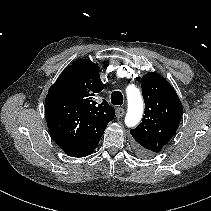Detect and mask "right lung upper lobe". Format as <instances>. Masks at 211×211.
Segmentation results:
<instances>
[{
    "label": "right lung upper lobe",
    "instance_id": "1",
    "mask_svg": "<svg viewBox=\"0 0 211 211\" xmlns=\"http://www.w3.org/2000/svg\"><path fill=\"white\" fill-rule=\"evenodd\" d=\"M99 70L92 61L78 59L64 69L48 91V94L75 101L78 106L75 130L106 128L114 118V108L105 100L97 104L94 98L104 88ZM57 136L59 142L69 141L66 134L57 133Z\"/></svg>",
    "mask_w": 211,
    "mask_h": 211
}]
</instances>
